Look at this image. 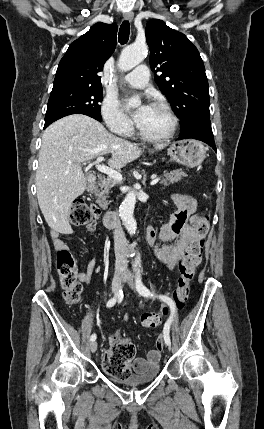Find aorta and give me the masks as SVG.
Returning a JSON list of instances; mask_svg holds the SVG:
<instances>
[{
	"mask_svg": "<svg viewBox=\"0 0 264 429\" xmlns=\"http://www.w3.org/2000/svg\"><path fill=\"white\" fill-rule=\"evenodd\" d=\"M147 52L148 47L145 43H134L127 46L120 54L119 68L123 71L131 70L145 59ZM140 104L141 100L139 98H132L128 101V105L132 107H137ZM135 204V191H130L119 208L120 218L130 235H134L137 230V223L133 216ZM134 266H140V256L136 257Z\"/></svg>",
	"mask_w": 264,
	"mask_h": 429,
	"instance_id": "762f6f07",
	"label": "aorta"
}]
</instances>
